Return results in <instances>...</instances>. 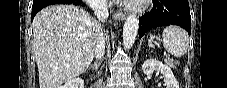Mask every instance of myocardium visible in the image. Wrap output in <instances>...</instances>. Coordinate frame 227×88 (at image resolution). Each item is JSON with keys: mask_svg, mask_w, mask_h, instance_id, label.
Segmentation results:
<instances>
[{"mask_svg": "<svg viewBox=\"0 0 227 88\" xmlns=\"http://www.w3.org/2000/svg\"><path fill=\"white\" fill-rule=\"evenodd\" d=\"M147 2H150V0H146V1H142L141 3L135 5V6H132L129 8L130 11H135V12H140L142 10H144V8L146 7V3Z\"/></svg>", "mask_w": 227, "mask_h": 88, "instance_id": "myocardium-1", "label": "myocardium"}]
</instances>
